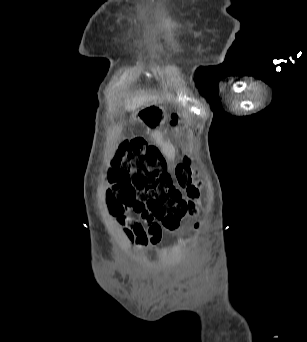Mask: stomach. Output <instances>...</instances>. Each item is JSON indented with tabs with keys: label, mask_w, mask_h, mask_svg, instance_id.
I'll use <instances>...</instances> for the list:
<instances>
[{
	"label": "stomach",
	"mask_w": 307,
	"mask_h": 342,
	"mask_svg": "<svg viewBox=\"0 0 307 342\" xmlns=\"http://www.w3.org/2000/svg\"><path fill=\"white\" fill-rule=\"evenodd\" d=\"M134 119L150 125L159 126L165 121V112L160 107L151 106L138 110L134 115Z\"/></svg>",
	"instance_id": "obj_1"
}]
</instances>
